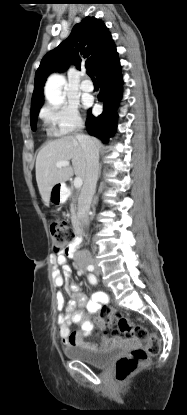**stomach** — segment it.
Listing matches in <instances>:
<instances>
[{
  "mask_svg": "<svg viewBox=\"0 0 187 415\" xmlns=\"http://www.w3.org/2000/svg\"><path fill=\"white\" fill-rule=\"evenodd\" d=\"M65 193V185L64 184H56L53 186L51 193H50V200L53 204H60L62 203V198Z\"/></svg>",
  "mask_w": 187,
  "mask_h": 415,
  "instance_id": "0dacf381",
  "label": "stomach"
}]
</instances>
